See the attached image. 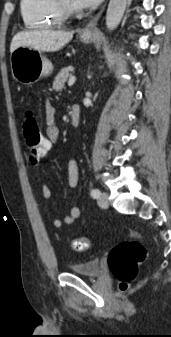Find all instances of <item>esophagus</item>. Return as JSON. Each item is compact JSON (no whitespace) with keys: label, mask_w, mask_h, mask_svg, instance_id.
I'll return each instance as SVG.
<instances>
[{"label":"esophagus","mask_w":171,"mask_h":337,"mask_svg":"<svg viewBox=\"0 0 171 337\" xmlns=\"http://www.w3.org/2000/svg\"><path fill=\"white\" fill-rule=\"evenodd\" d=\"M106 4L103 5V7L100 9V11L97 13V15L84 27L82 30L83 35H91L96 30V24L98 20L100 19Z\"/></svg>","instance_id":"esophagus-1"}]
</instances>
